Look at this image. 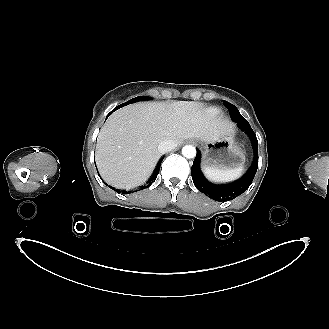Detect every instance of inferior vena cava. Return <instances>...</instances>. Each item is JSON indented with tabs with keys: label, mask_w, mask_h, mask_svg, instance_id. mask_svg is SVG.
<instances>
[{
	"label": "inferior vena cava",
	"mask_w": 329,
	"mask_h": 329,
	"mask_svg": "<svg viewBox=\"0 0 329 329\" xmlns=\"http://www.w3.org/2000/svg\"><path fill=\"white\" fill-rule=\"evenodd\" d=\"M177 147V144L174 140L166 139L159 143L158 150L161 153L169 152Z\"/></svg>",
	"instance_id": "inferior-vena-cava-1"
}]
</instances>
